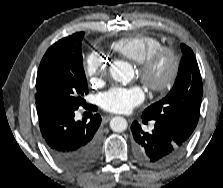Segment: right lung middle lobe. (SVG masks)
<instances>
[{
    "instance_id": "obj_1",
    "label": "right lung middle lobe",
    "mask_w": 223,
    "mask_h": 188,
    "mask_svg": "<svg viewBox=\"0 0 223 188\" xmlns=\"http://www.w3.org/2000/svg\"><path fill=\"white\" fill-rule=\"evenodd\" d=\"M83 37V32L75 33L47 50L37 73L36 102L84 105L88 86L81 52Z\"/></svg>"
}]
</instances>
